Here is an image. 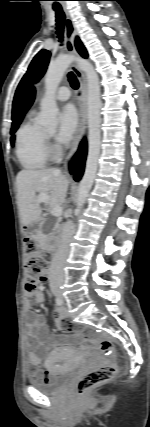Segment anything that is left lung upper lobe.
Returning <instances> with one entry per match:
<instances>
[{"instance_id": "obj_1", "label": "left lung upper lobe", "mask_w": 150, "mask_h": 427, "mask_svg": "<svg viewBox=\"0 0 150 427\" xmlns=\"http://www.w3.org/2000/svg\"><path fill=\"white\" fill-rule=\"evenodd\" d=\"M50 59V52L47 50H41L32 60L31 64L29 65L28 71L23 76L22 80L20 81L13 101V113L16 110L17 102L20 96V93L22 89L24 88L25 84L28 81L37 82L45 73L47 69V65L49 63Z\"/></svg>"}]
</instances>
